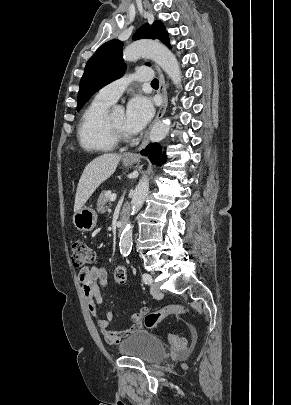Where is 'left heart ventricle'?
<instances>
[{"label":"left heart ventricle","mask_w":291,"mask_h":405,"mask_svg":"<svg viewBox=\"0 0 291 405\" xmlns=\"http://www.w3.org/2000/svg\"><path fill=\"white\" fill-rule=\"evenodd\" d=\"M110 120L116 128L129 134V132L127 131V129L125 127V114L123 112H119V113L112 115L110 117Z\"/></svg>","instance_id":"obj_1"}]
</instances>
